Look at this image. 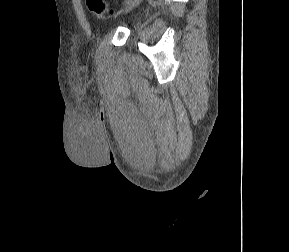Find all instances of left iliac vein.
<instances>
[{"instance_id":"left-iliac-vein-1","label":"left iliac vein","mask_w":289,"mask_h":252,"mask_svg":"<svg viewBox=\"0 0 289 252\" xmlns=\"http://www.w3.org/2000/svg\"><path fill=\"white\" fill-rule=\"evenodd\" d=\"M142 0H130L125 8L122 10L123 13H127L130 10H132L134 7H136Z\"/></svg>"}]
</instances>
